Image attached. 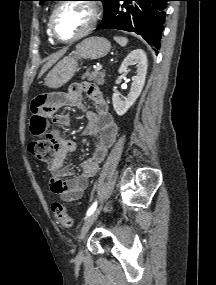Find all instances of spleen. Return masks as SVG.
<instances>
[{
  "instance_id": "spleen-1",
  "label": "spleen",
  "mask_w": 216,
  "mask_h": 285,
  "mask_svg": "<svg viewBox=\"0 0 216 285\" xmlns=\"http://www.w3.org/2000/svg\"><path fill=\"white\" fill-rule=\"evenodd\" d=\"M115 41L121 46H126L128 43V39L125 37H114Z\"/></svg>"
}]
</instances>
